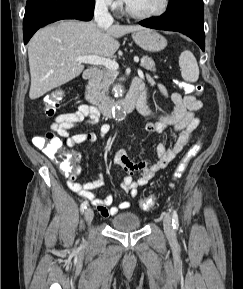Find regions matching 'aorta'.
Wrapping results in <instances>:
<instances>
[{
    "label": "aorta",
    "mask_w": 243,
    "mask_h": 289,
    "mask_svg": "<svg viewBox=\"0 0 243 289\" xmlns=\"http://www.w3.org/2000/svg\"><path fill=\"white\" fill-rule=\"evenodd\" d=\"M115 97H120L122 96L123 90L121 86H118L114 89Z\"/></svg>",
    "instance_id": "obj_1"
}]
</instances>
